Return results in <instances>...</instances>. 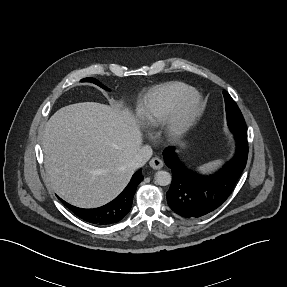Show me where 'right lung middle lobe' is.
I'll use <instances>...</instances> for the list:
<instances>
[{
    "label": "right lung middle lobe",
    "mask_w": 287,
    "mask_h": 287,
    "mask_svg": "<svg viewBox=\"0 0 287 287\" xmlns=\"http://www.w3.org/2000/svg\"><path fill=\"white\" fill-rule=\"evenodd\" d=\"M82 81L93 82V83L97 84L98 86L102 87L103 89L109 90L107 87L103 86L98 80H96L94 78L89 77V78L83 79Z\"/></svg>",
    "instance_id": "right-lung-middle-lobe-1"
}]
</instances>
